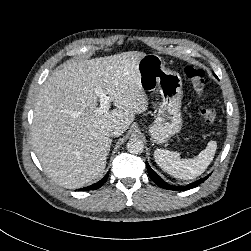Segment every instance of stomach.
<instances>
[{
    "label": "stomach",
    "instance_id": "stomach-1",
    "mask_svg": "<svg viewBox=\"0 0 251 251\" xmlns=\"http://www.w3.org/2000/svg\"><path fill=\"white\" fill-rule=\"evenodd\" d=\"M138 71L143 90H157L162 98L156 118L148 128L152 141L162 144L182 127V79L177 72L166 69L164 61L156 54L142 57L138 62Z\"/></svg>",
    "mask_w": 251,
    "mask_h": 251
}]
</instances>
